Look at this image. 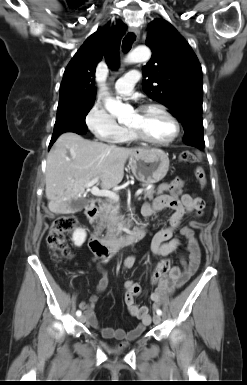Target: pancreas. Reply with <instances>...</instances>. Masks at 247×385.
<instances>
[{"label": "pancreas", "instance_id": "1", "mask_svg": "<svg viewBox=\"0 0 247 385\" xmlns=\"http://www.w3.org/2000/svg\"><path fill=\"white\" fill-rule=\"evenodd\" d=\"M143 194H144V200L146 198L153 199L155 194V187L145 189L143 191ZM99 218H100L99 226L103 228H107L108 234L112 236H116L118 231L117 226L121 219L120 212H119V205L115 204V202L112 200H109L108 202L104 203L100 207Z\"/></svg>", "mask_w": 247, "mask_h": 385}]
</instances>
